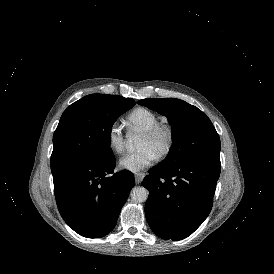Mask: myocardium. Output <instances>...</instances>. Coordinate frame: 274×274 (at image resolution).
I'll use <instances>...</instances> for the list:
<instances>
[{
  "mask_svg": "<svg viewBox=\"0 0 274 274\" xmlns=\"http://www.w3.org/2000/svg\"><path fill=\"white\" fill-rule=\"evenodd\" d=\"M143 135L149 139H156L159 136L165 138V145L159 150L157 157L163 158L167 156L173 149L175 143V135L171 127L167 125H156L153 128L143 132Z\"/></svg>",
  "mask_w": 274,
  "mask_h": 274,
  "instance_id": "myocardium-1",
  "label": "myocardium"
}]
</instances>
